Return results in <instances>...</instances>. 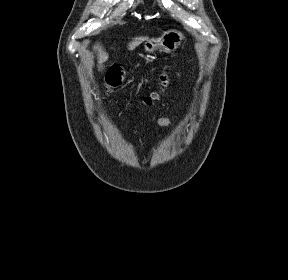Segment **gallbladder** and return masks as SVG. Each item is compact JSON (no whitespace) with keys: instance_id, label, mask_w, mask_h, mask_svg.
Segmentation results:
<instances>
[{"instance_id":"bac80fb5","label":"gallbladder","mask_w":288,"mask_h":280,"mask_svg":"<svg viewBox=\"0 0 288 280\" xmlns=\"http://www.w3.org/2000/svg\"><path fill=\"white\" fill-rule=\"evenodd\" d=\"M99 69H100V70H103V69H104L103 65H100V66H99Z\"/></svg>"}]
</instances>
